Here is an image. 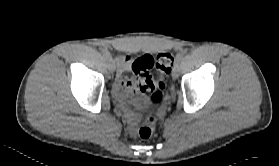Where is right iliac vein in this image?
I'll return each mask as SVG.
<instances>
[{
	"instance_id": "right-iliac-vein-1",
	"label": "right iliac vein",
	"mask_w": 279,
	"mask_h": 166,
	"mask_svg": "<svg viewBox=\"0 0 279 166\" xmlns=\"http://www.w3.org/2000/svg\"><path fill=\"white\" fill-rule=\"evenodd\" d=\"M108 69L111 73H113L116 69V65L112 59H108Z\"/></svg>"
}]
</instances>
